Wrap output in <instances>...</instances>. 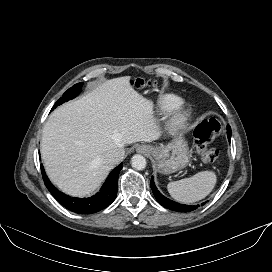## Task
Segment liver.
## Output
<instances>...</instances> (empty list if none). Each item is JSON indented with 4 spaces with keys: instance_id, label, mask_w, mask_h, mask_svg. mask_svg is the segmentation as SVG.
I'll list each match as a JSON object with an SVG mask.
<instances>
[{
    "instance_id": "liver-1",
    "label": "liver",
    "mask_w": 272,
    "mask_h": 272,
    "mask_svg": "<svg viewBox=\"0 0 272 272\" xmlns=\"http://www.w3.org/2000/svg\"><path fill=\"white\" fill-rule=\"evenodd\" d=\"M130 76L107 80L80 99L55 109L41 137V156L50 180L72 196L98 189L114 165L103 156L157 138L154 107L130 85ZM121 159V160H122Z\"/></svg>"
}]
</instances>
